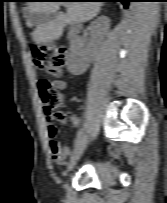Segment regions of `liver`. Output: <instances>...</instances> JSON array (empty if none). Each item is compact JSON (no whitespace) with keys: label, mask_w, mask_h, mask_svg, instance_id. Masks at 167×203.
<instances>
[{"label":"liver","mask_w":167,"mask_h":203,"mask_svg":"<svg viewBox=\"0 0 167 203\" xmlns=\"http://www.w3.org/2000/svg\"><path fill=\"white\" fill-rule=\"evenodd\" d=\"M60 2H30L29 12L52 13L59 9ZM66 13L36 28L31 34L38 44H47L58 40L68 24L82 23L94 18L101 9V2H67Z\"/></svg>","instance_id":"6515ba94"}]
</instances>
